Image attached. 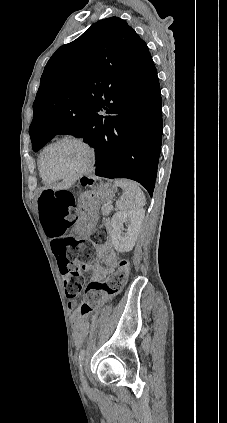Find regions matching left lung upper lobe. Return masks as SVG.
Returning a JSON list of instances; mask_svg holds the SVG:
<instances>
[{
    "mask_svg": "<svg viewBox=\"0 0 227 423\" xmlns=\"http://www.w3.org/2000/svg\"><path fill=\"white\" fill-rule=\"evenodd\" d=\"M156 73L146 43L119 17L59 47L41 76L29 128L33 151L58 134L91 138L103 115L134 111Z\"/></svg>",
    "mask_w": 227,
    "mask_h": 423,
    "instance_id": "5c2ea615",
    "label": "left lung upper lobe"
}]
</instances>
